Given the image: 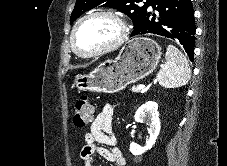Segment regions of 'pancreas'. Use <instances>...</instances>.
I'll return each instance as SVG.
<instances>
[{
  "mask_svg": "<svg viewBox=\"0 0 227 166\" xmlns=\"http://www.w3.org/2000/svg\"><path fill=\"white\" fill-rule=\"evenodd\" d=\"M137 87H132V92H139L136 90Z\"/></svg>",
  "mask_w": 227,
  "mask_h": 166,
  "instance_id": "cf45deb5",
  "label": "pancreas"
}]
</instances>
